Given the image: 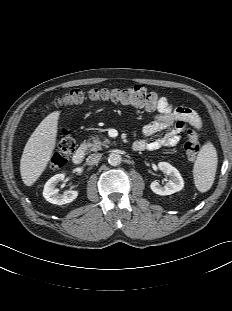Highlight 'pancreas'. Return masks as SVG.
Returning <instances> with one entry per match:
<instances>
[{"instance_id":"obj_1","label":"pancreas","mask_w":232,"mask_h":311,"mask_svg":"<svg viewBox=\"0 0 232 311\" xmlns=\"http://www.w3.org/2000/svg\"><path fill=\"white\" fill-rule=\"evenodd\" d=\"M107 144H110L108 139H105L103 142H101L100 138L92 136L87 142L84 141L81 147L85 150L96 152L102 150V146L107 147Z\"/></svg>"}]
</instances>
